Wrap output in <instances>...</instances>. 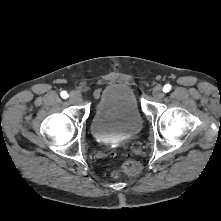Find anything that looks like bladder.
I'll use <instances>...</instances> for the list:
<instances>
[{
    "label": "bladder",
    "mask_w": 221,
    "mask_h": 221,
    "mask_svg": "<svg viewBox=\"0 0 221 221\" xmlns=\"http://www.w3.org/2000/svg\"><path fill=\"white\" fill-rule=\"evenodd\" d=\"M143 126L137 98L132 88L111 83L101 92L91 120V133L100 142L133 138Z\"/></svg>",
    "instance_id": "obj_1"
}]
</instances>
